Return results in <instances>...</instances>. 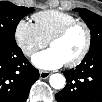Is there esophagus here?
Returning <instances> with one entry per match:
<instances>
[{
	"label": "esophagus",
	"mask_w": 102,
	"mask_h": 102,
	"mask_svg": "<svg viewBox=\"0 0 102 102\" xmlns=\"http://www.w3.org/2000/svg\"><path fill=\"white\" fill-rule=\"evenodd\" d=\"M50 75H51V73L48 72V71H44V70H41V71H40V78H41V79H46V78H48Z\"/></svg>",
	"instance_id": "1"
}]
</instances>
